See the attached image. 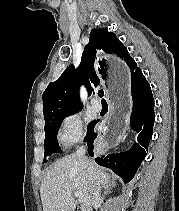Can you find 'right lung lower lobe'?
Listing matches in <instances>:
<instances>
[{"mask_svg": "<svg viewBox=\"0 0 179 211\" xmlns=\"http://www.w3.org/2000/svg\"><path fill=\"white\" fill-rule=\"evenodd\" d=\"M131 97L130 126L133 131L138 133L137 142L127 151L103 155L95 159L97 164L113 170L125 183L134 177L146 156L155 120L154 99L151 88L140 69L135 70L131 75ZM97 122L95 121V124ZM96 137L97 133H94L92 129L85 139L90 156H93V142Z\"/></svg>", "mask_w": 179, "mask_h": 211, "instance_id": "98d812e1", "label": "right lung lower lobe"}]
</instances>
